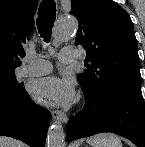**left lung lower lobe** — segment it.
I'll use <instances>...</instances> for the list:
<instances>
[{"instance_id": "left-lung-lower-lobe-1", "label": "left lung lower lobe", "mask_w": 145, "mask_h": 147, "mask_svg": "<svg viewBox=\"0 0 145 147\" xmlns=\"http://www.w3.org/2000/svg\"><path fill=\"white\" fill-rule=\"evenodd\" d=\"M102 132L121 135L137 147H145V104L141 85L119 87L99 100L85 97L83 110L68 121L66 141Z\"/></svg>"}]
</instances>
